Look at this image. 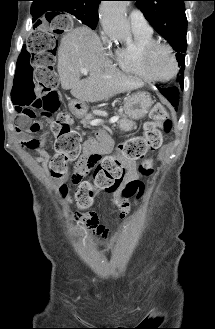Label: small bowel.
Returning <instances> with one entry per match:
<instances>
[{
    "instance_id": "obj_1",
    "label": "small bowel",
    "mask_w": 215,
    "mask_h": 329,
    "mask_svg": "<svg viewBox=\"0 0 215 329\" xmlns=\"http://www.w3.org/2000/svg\"><path fill=\"white\" fill-rule=\"evenodd\" d=\"M26 122L22 119L18 127L24 126ZM28 133V132H23ZM37 139H21V144L33 151L36 155V160L41 163H47L49 159V153L46 149V144L42 140H38L40 145L35 146L32 142ZM109 142L103 141L99 142L96 139L88 140L83 147V155L81 156L77 166L82 165L85 158L92 154H102L107 151ZM127 170V182L123 183V187H119V190L114 194L113 208L120 211V216L123 217L129 210V205L125 199H129V203L137 207L140 203V199H144L145 194H147V182H142V178L138 177V168L133 160H125L123 163ZM76 166V167H77ZM79 220L89 228L93 233L100 235L104 238L109 237V231L100 224L99 216L96 212L90 211L79 216Z\"/></svg>"
}]
</instances>
